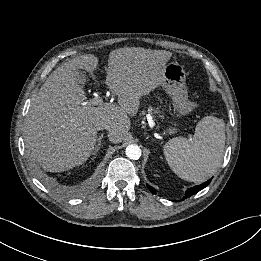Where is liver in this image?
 I'll return each mask as SVG.
<instances>
[{
	"mask_svg": "<svg viewBox=\"0 0 261 261\" xmlns=\"http://www.w3.org/2000/svg\"><path fill=\"white\" fill-rule=\"evenodd\" d=\"M172 53L140 47L113 50L108 58L106 85L118 104L92 106L76 82L79 69L93 74L99 59L76 57L54 70L32 99L25 121V145L49 172H62L83 164L92 154L97 131L108 126L112 143H120L131 127L129 116L139 109L140 98L161 85Z\"/></svg>",
	"mask_w": 261,
	"mask_h": 261,
	"instance_id": "obj_1",
	"label": "liver"
}]
</instances>
